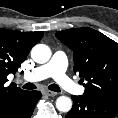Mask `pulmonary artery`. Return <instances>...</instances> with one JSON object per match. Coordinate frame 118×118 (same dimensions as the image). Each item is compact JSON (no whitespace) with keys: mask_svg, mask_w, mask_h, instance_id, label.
I'll return each mask as SVG.
<instances>
[{"mask_svg":"<svg viewBox=\"0 0 118 118\" xmlns=\"http://www.w3.org/2000/svg\"><path fill=\"white\" fill-rule=\"evenodd\" d=\"M67 66L68 60L66 55L62 52H56L48 63L26 72L22 78L25 81L35 82L51 77L64 90L76 94H83L85 89L75 84L73 80L66 75Z\"/></svg>","mask_w":118,"mask_h":118,"instance_id":"pulmonary-artery-1","label":"pulmonary artery"}]
</instances>
